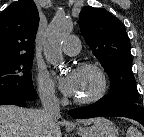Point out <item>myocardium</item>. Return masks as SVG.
Here are the masks:
<instances>
[{
  "label": "myocardium",
  "instance_id": "1",
  "mask_svg": "<svg viewBox=\"0 0 144 137\" xmlns=\"http://www.w3.org/2000/svg\"><path fill=\"white\" fill-rule=\"evenodd\" d=\"M78 70H89L95 73L99 81V86L93 95L86 98L74 97L73 102L77 105H91L100 101L105 96L108 86L107 76L104 70L98 64L91 62L81 63L78 66Z\"/></svg>",
  "mask_w": 144,
  "mask_h": 137
}]
</instances>
